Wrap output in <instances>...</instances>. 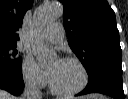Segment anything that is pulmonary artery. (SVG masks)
<instances>
[{"instance_id":"pulmonary-artery-1","label":"pulmonary artery","mask_w":128,"mask_h":99,"mask_svg":"<svg viewBox=\"0 0 128 99\" xmlns=\"http://www.w3.org/2000/svg\"><path fill=\"white\" fill-rule=\"evenodd\" d=\"M42 37L50 43H60L64 37L63 27L61 24L50 25L43 31Z\"/></svg>"}]
</instances>
